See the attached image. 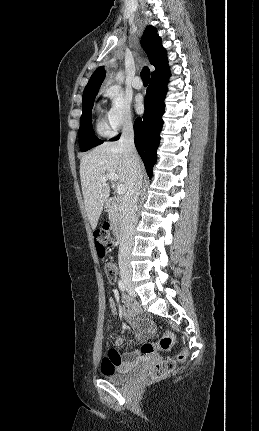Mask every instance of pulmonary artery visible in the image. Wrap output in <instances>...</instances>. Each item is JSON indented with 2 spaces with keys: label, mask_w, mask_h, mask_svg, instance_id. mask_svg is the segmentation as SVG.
<instances>
[{
  "label": "pulmonary artery",
  "mask_w": 259,
  "mask_h": 431,
  "mask_svg": "<svg viewBox=\"0 0 259 431\" xmlns=\"http://www.w3.org/2000/svg\"><path fill=\"white\" fill-rule=\"evenodd\" d=\"M132 85L135 89H141L143 87L141 78L139 76H136L132 81Z\"/></svg>",
  "instance_id": "obj_1"
}]
</instances>
